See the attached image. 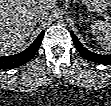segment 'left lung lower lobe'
<instances>
[{
	"mask_svg": "<svg viewBox=\"0 0 111 106\" xmlns=\"http://www.w3.org/2000/svg\"><path fill=\"white\" fill-rule=\"evenodd\" d=\"M71 36L76 49L84 58L99 64H104V65L111 64V55H101V54L93 53L87 50L85 47H83V45L79 42V40L77 39V37L73 32H71Z\"/></svg>",
	"mask_w": 111,
	"mask_h": 106,
	"instance_id": "obj_1",
	"label": "left lung lower lobe"
}]
</instances>
